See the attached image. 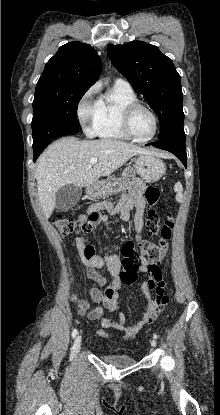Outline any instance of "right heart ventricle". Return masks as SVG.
I'll use <instances>...</instances> for the list:
<instances>
[{
  "label": "right heart ventricle",
  "mask_w": 220,
  "mask_h": 415,
  "mask_svg": "<svg viewBox=\"0 0 220 415\" xmlns=\"http://www.w3.org/2000/svg\"><path fill=\"white\" fill-rule=\"evenodd\" d=\"M136 101L133 90H122L113 87L107 94L100 98L98 114L95 123V134L101 138L127 140L120 126V113L122 108Z\"/></svg>",
  "instance_id": "obj_1"
}]
</instances>
